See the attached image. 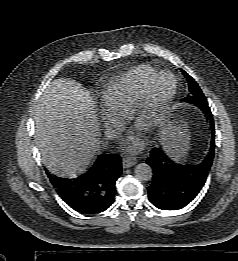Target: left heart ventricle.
I'll return each mask as SVG.
<instances>
[{
	"instance_id": "1",
	"label": "left heart ventricle",
	"mask_w": 238,
	"mask_h": 261,
	"mask_svg": "<svg viewBox=\"0 0 238 261\" xmlns=\"http://www.w3.org/2000/svg\"><path fill=\"white\" fill-rule=\"evenodd\" d=\"M172 87V79L168 75L159 76L151 85L149 90V99L151 108H155L165 99ZM149 123V117L144 116L139 119L136 128L145 131Z\"/></svg>"
}]
</instances>
